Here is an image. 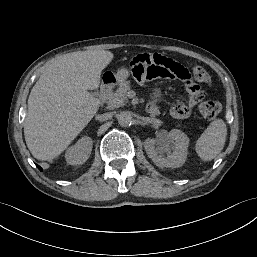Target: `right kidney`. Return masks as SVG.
Instances as JSON below:
<instances>
[{
    "label": "right kidney",
    "mask_w": 257,
    "mask_h": 257,
    "mask_svg": "<svg viewBox=\"0 0 257 257\" xmlns=\"http://www.w3.org/2000/svg\"><path fill=\"white\" fill-rule=\"evenodd\" d=\"M93 147V142L90 137H82L77 143L65 153V158L70 165H80L86 162L89 158Z\"/></svg>",
    "instance_id": "ca27d5eb"
}]
</instances>
